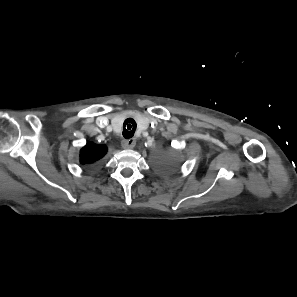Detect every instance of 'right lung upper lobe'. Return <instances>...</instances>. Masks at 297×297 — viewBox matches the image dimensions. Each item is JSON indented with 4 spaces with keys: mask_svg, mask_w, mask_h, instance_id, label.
I'll return each instance as SVG.
<instances>
[{
    "mask_svg": "<svg viewBox=\"0 0 297 297\" xmlns=\"http://www.w3.org/2000/svg\"><path fill=\"white\" fill-rule=\"evenodd\" d=\"M107 152L105 145H98L94 143H88L80 151V163L82 164H96L99 162Z\"/></svg>",
    "mask_w": 297,
    "mask_h": 297,
    "instance_id": "right-lung-upper-lobe-1",
    "label": "right lung upper lobe"
}]
</instances>
